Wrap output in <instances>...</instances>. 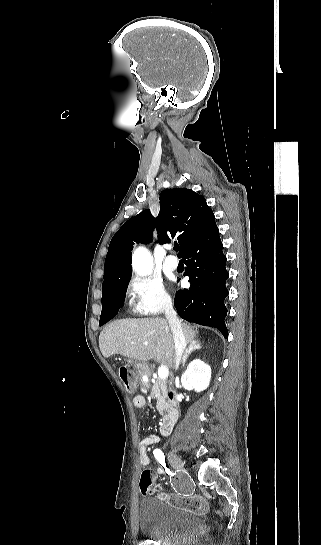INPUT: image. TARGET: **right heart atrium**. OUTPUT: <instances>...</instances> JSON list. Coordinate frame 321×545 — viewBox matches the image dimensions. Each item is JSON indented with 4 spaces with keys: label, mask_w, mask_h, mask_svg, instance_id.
I'll list each match as a JSON object with an SVG mask.
<instances>
[{
    "label": "right heart atrium",
    "mask_w": 321,
    "mask_h": 545,
    "mask_svg": "<svg viewBox=\"0 0 321 545\" xmlns=\"http://www.w3.org/2000/svg\"><path fill=\"white\" fill-rule=\"evenodd\" d=\"M128 304L135 315L155 316L169 310L173 301L154 274L133 275L126 287Z\"/></svg>",
    "instance_id": "1"
}]
</instances>
